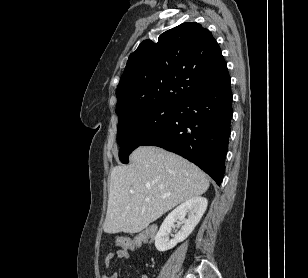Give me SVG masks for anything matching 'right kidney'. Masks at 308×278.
<instances>
[{
	"instance_id": "obj_1",
	"label": "right kidney",
	"mask_w": 308,
	"mask_h": 278,
	"mask_svg": "<svg viewBox=\"0 0 308 278\" xmlns=\"http://www.w3.org/2000/svg\"><path fill=\"white\" fill-rule=\"evenodd\" d=\"M208 201L204 197L192 198L177 208H175L163 221L155 237V247L160 252L172 249L177 243L184 241L194 230L206 211ZM188 213V219H185ZM179 220L184 225L175 234L173 239H169L171 229L175 227V222Z\"/></svg>"
}]
</instances>
